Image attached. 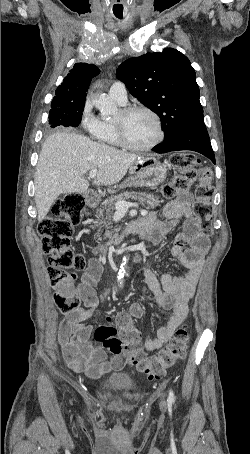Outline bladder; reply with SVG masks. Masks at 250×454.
<instances>
[{"instance_id":"obj_1","label":"bladder","mask_w":250,"mask_h":454,"mask_svg":"<svg viewBox=\"0 0 250 454\" xmlns=\"http://www.w3.org/2000/svg\"><path fill=\"white\" fill-rule=\"evenodd\" d=\"M133 388L134 381L126 372L113 374L101 383V390L109 395L131 391Z\"/></svg>"}]
</instances>
